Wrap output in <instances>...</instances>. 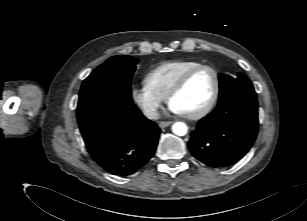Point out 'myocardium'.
I'll list each match as a JSON object with an SVG mask.
<instances>
[{"instance_id":"f54148a6","label":"myocardium","mask_w":307,"mask_h":221,"mask_svg":"<svg viewBox=\"0 0 307 221\" xmlns=\"http://www.w3.org/2000/svg\"><path fill=\"white\" fill-rule=\"evenodd\" d=\"M203 69H206V70H209V71L212 72V74L214 76V91H213L212 97L209 100V102L199 111L192 113V114H181V113H179L180 116H182L186 119H189V120H197V119H200V118L206 116L208 113L211 112V110L216 105L219 94H220V86H221L220 75H219L218 71L211 65L200 64V65L188 70L187 72H185L177 80V82L173 85V87L170 89V91L168 92V94L166 96V102L170 106L172 99L178 93H180L183 90V88L186 86V84L191 79V77L195 73H197L198 71L203 70Z\"/></svg>"}]
</instances>
